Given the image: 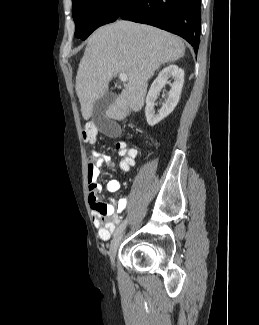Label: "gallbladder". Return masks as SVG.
Listing matches in <instances>:
<instances>
[{
	"label": "gallbladder",
	"instance_id": "gallbladder-1",
	"mask_svg": "<svg viewBox=\"0 0 259 325\" xmlns=\"http://www.w3.org/2000/svg\"><path fill=\"white\" fill-rule=\"evenodd\" d=\"M115 98V93L106 92L94 102L92 113V118L103 132V135L110 136L111 139L119 138V126L116 121H110L108 116H104V112L115 101Z\"/></svg>",
	"mask_w": 259,
	"mask_h": 325
}]
</instances>
